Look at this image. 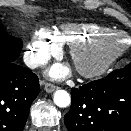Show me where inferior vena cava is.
<instances>
[{
    "label": "inferior vena cava",
    "instance_id": "inferior-vena-cava-1",
    "mask_svg": "<svg viewBox=\"0 0 131 131\" xmlns=\"http://www.w3.org/2000/svg\"><path fill=\"white\" fill-rule=\"evenodd\" d=\"M47 62H48V57L44 55H33V54L24 55V63L29 68H36L46 64Z\"/></svg>",
    "mask_w": 131,
    "mask_h": 131
}]
</instances>
